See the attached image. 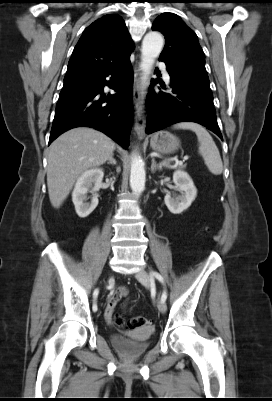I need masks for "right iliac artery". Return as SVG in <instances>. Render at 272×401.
<instances>
[{"instance_id":"82829eb1","label":"right iliac artery","mask_w":272,"mask_h":401,"mask_svg":"<svg viewBox=\"0 0 272 401\" xmlns=\"http://www.w3.org/2000/svg\"><path fill=\"white\" fill-rule=\"evenodd\" d=\"M98 293H99V290H98V289H95V291H94V293H93L94 301L96 300V298H97V296H98ZM92 308H93V311H97V304H96V302H94Z\"/></svg>"}]
</instances>
